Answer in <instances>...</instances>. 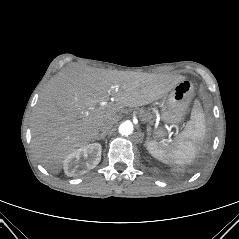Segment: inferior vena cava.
Listing matches in <instances>:
<instances>
[{"label": "inferior vena cava", "instance_id": "1", "mask_svg": "<svg viewBox=\"0 0 239 239\" xmlns=\"http://www.w3.org/2000/svg\"><path fill=\"white\" fill-rule=\"evenodd\" d=\"M114 125V122L112 121H107L101 124L100 126V131H102L103 133H105L106 131H108L109 129L112 128V126Z\"/></svg>", "mask_w": 239, "mask_h": 239}]
</instances>
